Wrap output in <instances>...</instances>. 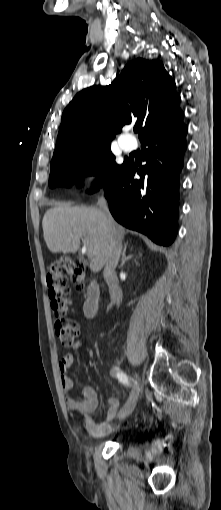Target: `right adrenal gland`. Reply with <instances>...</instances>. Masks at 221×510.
Listing matches in <instances>:
<instances>
[{"instance_id": "right-adrenal-gland-1", "label": "right adrenal gland", "mask_w": 221, "mask_h": 510, "mask_svg": "<svg viewBox=\"0 0 221 510\" xmlns=\"http://www.w3.org/2000/svg\"><path fill=\"white\" fill-rule=\"evenodd\" d=\"M127 246H128V243H125L124 244V248H123V252H122L121 266H123L126 261H128L129 259H131L133 257V255L126 256Z\"/></svg>"}]
</instances>
